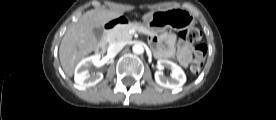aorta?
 Here are the masks:
<instances>
[{
    "label": "aorta",
    "mask_w": 276,
    "mask_h": 120,
    "mask_svg": "<svg viewBox=\"0 0 276 120\" xmlns=\"http://www.w3.org/2000/svg\"><path fill=\"white\" fill-rule=\"evenodd\" d=\"M132 50L135 54H142L144 52V47L142 44L136 43L133 45Z\"/></svg>",
    "instance_id": "762f6f07"
}]
</instances>
